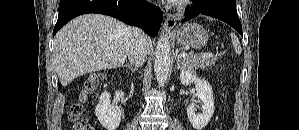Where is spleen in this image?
Instances as JSON below:
<instances>
[{"mask_svg":"<svg viewBox=\"0 0 299 130\" xmlns=\"http://www.w3.org/2000/svg\"><path fill=\"white\" fill-rule=\"evenodd\" d=\"M231 42L233 44L235 53L238 54V55H240L241 52H242V48L240 46V42H239L238 37L235 34H233V33H231Z\"/></svg>","mask_w":299,"mask_h":130,"instance_id":"obj_1","label":"spleen"}]
</instances>
